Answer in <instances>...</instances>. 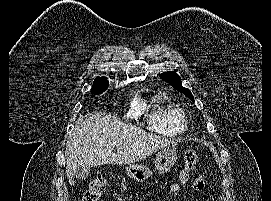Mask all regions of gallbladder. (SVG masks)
<instances>
[{
    "instance_id": "1",
    "label": "gallbladder",
    "mask_w": 271,
    "mask_h": 201,
    "mask_svg": "<svg viewBox=\"0 0 271 201\" xmlns=\"http://www.w3.org/2000/svg\"><path fill=\"white\" fill-rule=\"evenodd\" d=\"M90 174L91 170L83 166H78L75 171V177L80 180L88 178Z\"/></svg>"
}]
</instances>
